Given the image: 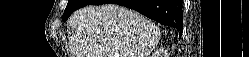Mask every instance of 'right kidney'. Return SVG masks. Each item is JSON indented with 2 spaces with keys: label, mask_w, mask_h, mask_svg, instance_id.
<instances>
[{
  "label": "right kidney",
  "mask_w": 249,
  "mask_h": 57,
  "mask_svg": "<svg viewBox=\"0 0 249 57\" xmlns=\"http://www.w3.org/2000/svg\"><path fill=\"white\" fill-rule=\"evenodd\" d=\"M155 57H163L164 56V53H156L155 55H154Z\"/></svg>",
  "instance_id": "obj_1"
}]
</instances>
